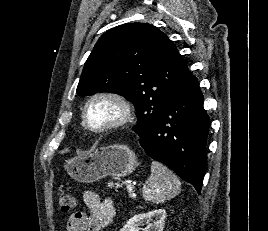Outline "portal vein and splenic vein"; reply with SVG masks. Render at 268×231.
<instances>
[{"label":"portal vein and splenic vein","instance_id":"portal-vein-and-splenic-vein-1","mask_svg":"<svg viewBox=\"0 0 268 231\" xmlns=\"http://www.w3.org/2000/svg\"><path fill=\"white\" fill-rule=\"evenodd\" d=\"M126 187L129 192L133 191V186L131 184H127Z\"/></svg>","mask_w":268,"mask_h":231}]
</instances>
